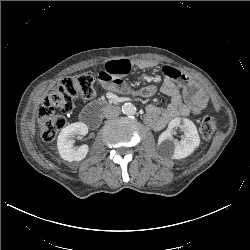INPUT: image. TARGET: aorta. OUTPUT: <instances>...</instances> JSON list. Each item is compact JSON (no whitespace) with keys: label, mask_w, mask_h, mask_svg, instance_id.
I'll list each match as a JSON object with an SVG mask.
<instances>
[{"label":"aorta","mask_w":250,"mask_h":250,"mask_svg":"<svg viewBox=\"0 0 250 250\" xmlns=\"http://www.w3.org/2000/svg\"><path fill=\"white\" fill-rule=\"evenodd\" d=\"M122 112L126 115H134L136 113V107L131 103H125L122 106Z\"/></svg>","instance_id":"762f6f07"}]
</instances>
